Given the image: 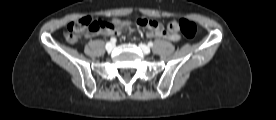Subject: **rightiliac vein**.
<instances>
[{
	"mask_svg": "<svg viewBox=\"0 0 276 120\" xmlns=\"http://www.w3.org/2000/svg\"><path fill=\"white\" fill-rule=\"evenodd\" d=\"M114 48H115V44L114 43L109 42V43L106 44V50L108 52H111Z\"/></svg>",
	"mask_w": 276,
	"mask_h": 120,
	"instance_id": "right-iliac-vein-1",
	"label": "right iliac vein"
}]
</instances>
